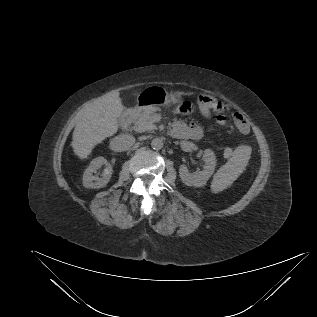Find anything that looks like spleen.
I'll return each mask as SVG.
<instances>
[{
  "label": "spleen",
  "instance_id": "1",
  "mask_svg": "<svg viewBox=\"0 0 317 317\" xmlns=\"http://www.w3.org/2000/svg\"><path fill=\"white\" fill-rule=\"evenodd\" d=\"M251 148L240 146L225 165L219 168L211 183V191L218 193L228 186L243 172L250 158Z\"/></svg>",
  "mask_w": 317,
  "mask_h": 317
}]
</instances>
